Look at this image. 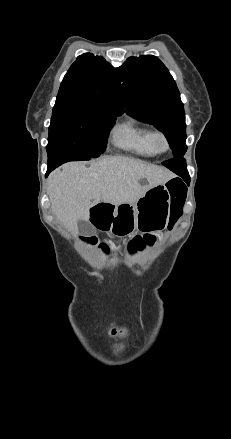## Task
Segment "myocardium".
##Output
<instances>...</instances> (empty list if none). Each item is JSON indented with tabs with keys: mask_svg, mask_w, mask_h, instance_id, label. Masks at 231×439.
<instances>
[{
	"mask_svg": "<svg viewBox=\"0 0 231 439\" xmlns=\"http://www.w3.org/2000/svg\"><path fill=\"white\" fill-rule=\"evenodd\" d=\"M152 142L156 152L163 153L170 148L168 135L162 130H156L152 135Z\"/></svg>",
	"mask_w": 231,
	"mask_h": 439,
	"instance_id": "obj_1",
	"label": "myocardium"
}]
</instances>
